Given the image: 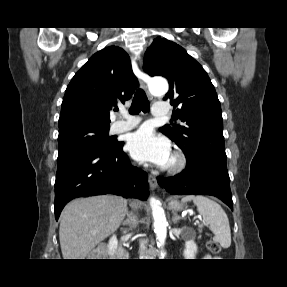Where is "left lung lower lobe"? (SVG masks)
Instances as JSON below:
<instances>
[{"label":"left lung lower lobe","instance_id":"left-lung-lower-lobe-1","mask_svg":"<svg viewBox=\"0 0 287 287\" xmlns=\"http://www.w3.org/2000/svg\"><path fill=\"white\" fill-rule=\"evenodd\" d=\"M158 183L171 195L202 194L221 199L233 210L227 166L212 161L197 165L187 163L185 170L173 177L158 178Z\"/></svg>","mask_w":287,"mask_h":287}]
</instances>
